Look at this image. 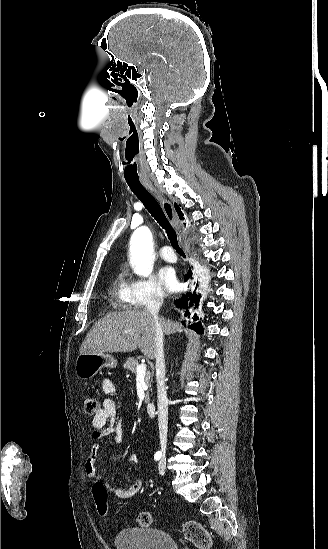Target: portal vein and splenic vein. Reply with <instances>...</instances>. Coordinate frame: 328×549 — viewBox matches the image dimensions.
I'll return each instance as SVG.
<instances>
[{
	"label": "portal vein and splenic vein",
	"mask_w": 328,
	"mask_h": 549,
	"mask_svg": "<svg viewBox=\"0 0 328 549\" xmlns=\"http://www.w3.org/2000/svg\"><path fill=\"white\" fill-rule=\"evenodd\" d=\"M146 371V365L142 363V365H138L137 367V375H140V373H145Z\"/></svg>",
	"instance_id": "portal-vein-and-splenic-vein-1"
}]
</instances>
